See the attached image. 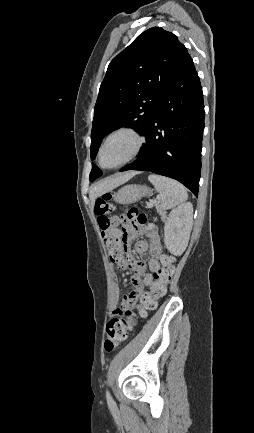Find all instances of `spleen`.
Masks as SVG:
<instances>
[{
	"instance_id": "1",
	"label": "spleen",
	"mask_w": 254,
	"mask_h": 433,
	"mask_svg": "<svg viewBox=\"0 0 254 433\" xmlns=\"http://www.w3.org/2000/svg\"><path fill=\"white\" fill-rule=\"evenodd\" d=\"M148 180L160 194L161 207L163 209L174 208L185 202L188 198L185 187L176 180L156 174L149 175Z\"/></svg>"
}]
</instances>
